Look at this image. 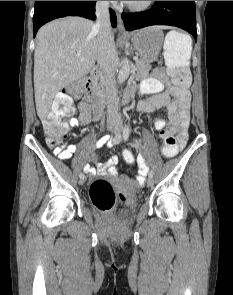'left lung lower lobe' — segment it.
I'll use <instances>...</instances> for the list:
<instances>
[{"instance_id":"0a47b994","label":"left lung lower lobe","mask_w":233,"mask_h":295,"mask_svg":"<svg viewBox=\"0 0 233 295\" xmlns=\"http://www.w3.org/2000/svg\"><path fill=\"white\" fill-rule=\"evenodd\" d=\"M122 19L127 31L150 25H171L188 31L197 40L194 1H155L149 10L123 13Z\"/></svg>"}]
</instances>
